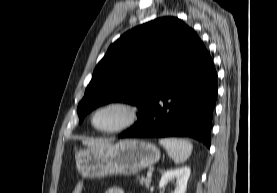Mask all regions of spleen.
I'll return each instance as SVG.
<instances>
[{"mask_svg": "<svg viewBox=\"0 0 277 193\" xmlns=\"http://www.w3.org/2000/svg\"><path fill=\"white\" fill-rule=\"evenodd\" d=\"M159 143L165 147L168 155L176 164L185 162L191 155L193 146L185 139L163 138Z\"/></svg>", "mask_w": 277, "mask_h": 193, "instance_id": "1", "label": "spleen"}]
</instances>
